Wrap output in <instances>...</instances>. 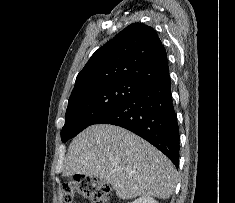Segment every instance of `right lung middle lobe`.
<instances>
[{"instance_id": "right-lung-middle-lobe-1", "label": "right lung middle lobe", "mask_w": 235, "mask_h": 203, "mask_svg": "<svg viewBox=\"0 0 235 203\" xmlns=\"http://www.w3.org/2000/svg\"><path fill=\"white\" fill-rule=\"evenodd\" d=\"M144 85L114 80L92 84L72 92L68 101L61 139L66 142L100 117L137 93Z\"/></svg>"}]
</instances>
